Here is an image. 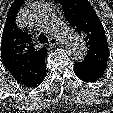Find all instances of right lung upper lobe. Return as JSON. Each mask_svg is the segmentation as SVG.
Wrapping results in <instances>:
<instances>
[{"label":"right lung upper lobe","instance_id":"right-lung-upper-lobe-1","mask_svg":"<svg viewBox=\"0 0 113 113\" xmlns=\"http://www.w3.org/2000/svg\"><path fill=\"white\" fill-rule=\"evenodd\" d=\"M24 0H15L7 15L1 41V59L18 83L27 87L41 84L46 74L45 48L35 49L31 38L17 27L16 14Z\"/></svg>","mask_w":113,"mask_h":113}]
</instances>
